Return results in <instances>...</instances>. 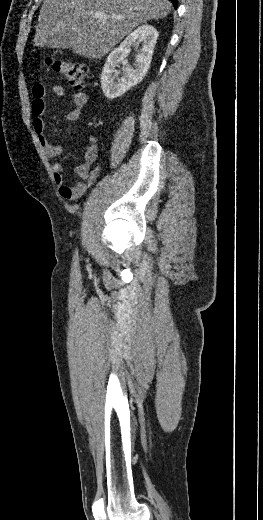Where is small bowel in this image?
Returning a JSON list of instances; mask_svg holds the SVG:
<instances>
[{"label":"small bowel","mask_w":263,"mask_h":520,"mask_svg":"<svg viewBox=\"0 0 263 520\" xmlns=\"http://www.w3.org/2000/svg\"><path fill=\"white\" fill-rule=\"evenodd\" d=\"M62 97L66 95V89L61 85H54L47 89L42 84H35L32 87L33 101L31 104L32 123L40 145L42 146L47 158L54 159L61 155L62 147L52 144L44 132L43 115L46 109V97L48 95ZM73 108L65 116L67 121L74 122L80 117L82 108L88 102V95L77 92L71 95ZM100 146L96 138L90 137L89 145L84 153V161L75 167L74 172L79 181L74 185L66 184L63 175V167L59 161H52L50 166L53 172L55 183L59 188L60 195L67 200H75L81 197L88 188L94 183L98 176L99 168L93 165L97 161Z\"/></svg>","instance_id":"small-bowel-1"}]
</instances>
